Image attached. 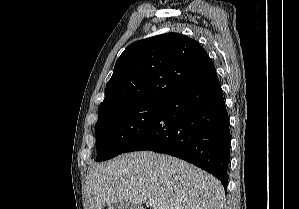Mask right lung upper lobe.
<instances>
[{"mask_svg":"<svg viewBox=\"0 0 299 209\" xmlns=\"http://www.w3.org/2000/svg\"><path fill=\"white\" fill-rule=\"evenodd\" d=\"M213 69L204 48L182 34L136 41L118 58L98 113L136 102H165L186 80Z\"/></svg>","mask_w":299,"mask_h":209,"instance_id":"1","label":"right lung upper lobe"}]
</instances>
